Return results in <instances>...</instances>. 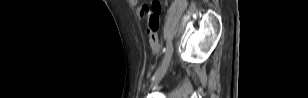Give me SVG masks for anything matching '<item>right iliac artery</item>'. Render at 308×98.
Wrapping results in <instances>:
<instances>
[{
  "label": "right iliac artery",
  "mask_w": 308,
  "mask_h": 98,
  "mask_svg": "<svg viewBox=\"0 0 308 98\" xmlns=\"http://www.w3.org/2000/svg\"><path fill=\"white\" fill-rule=\"evenodd\" d=\"M172 51H173L172 43H171L170 41H167L166 47L163 49V53L166 52V54H167V53H168V54H171ZM163 66H164V60H163V62H162V65H161V66L159 67V69L157 70V72L160 71L161 68H162ZM157 72H156V73H157ZM156 73H155V74H156Z\"/></svg>",
  "instance_id": "right-iliac-artery-1"
}]
</instances>
